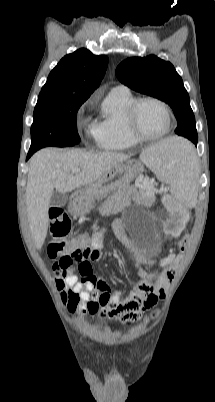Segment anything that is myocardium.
<instances>
[{
    "mask_svg": "<svg viewBox=\"0 0 215 402\" xmlns=\"http://www.w3.org/2000/svg\"><path fill=\"white\" fill-rule=\"evenodd\" d=\"M146 102H153L158 104L163 108L167 116V128L160 134L157 135H147L143 133L138 126V111L143 103ZM126 125L130 135L138 141H156L166 137L172 129L173 125V116L172 111L169 105L164 102L163 100L152 97L146 96L135 99L127 109L126 113Z\"/></svg>",
    "mask_w": 215,
    "mask_h": 402,
    "instance_id": "obj_1",
    "label": "myocardium"
}]
</instances>
